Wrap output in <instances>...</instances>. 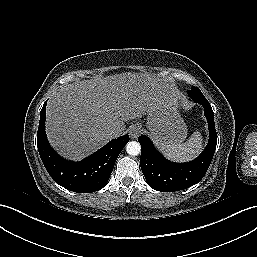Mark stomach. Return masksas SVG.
I'll list each match as a JSON object with an SVG mask.
<instances>
[{
	"instance_id": "obj_1",
	"label": "stomach",
	"mask_w": 257,
	"mask_h": 257,
	"mask_svg": "<svg viewBox=\"0 0 257 257\" xmlns=\"http://www.w3.org/2000/svg\"><path fill=\"white\" fill-rule=\"evenodd\" d=\"M146 115L147 128L158 146L182 142L186 138L187 127L179 114L177 104L160 102L149 109Z\"/></svg>"
}]
</instances>
